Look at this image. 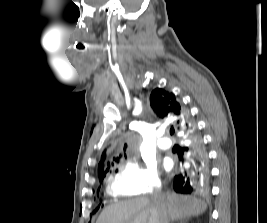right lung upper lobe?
Returning a JSON list of instances; mask_svg holds the SVG:
<instances>
[{
  "instance_id": "right-lung-upper-lobe-1",
  "label": "right lung upper lobe",
  "mask_w": 267,
  "mask_h": 223,
  "mask_svg": "<svg viewBox=\"0 0 267 223\" xmlns=\"http://www.w3.org/2000/svg\"><path fill=\"white\" fill-rule=\"evenodd\" d=\"M150 104L156 115L167 121L172 129L174 127L177 132L181 133L183 138H185L188 127L194 129L196 126L188 110L176 100L173 93L156 88L151 93ZM103 169L104 163L101 161L98 165L100 179L104 175Z\"/></svg>"
}]
</instances>
